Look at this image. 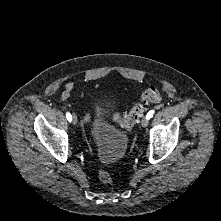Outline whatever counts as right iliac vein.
Instances as JSON below:
<instances>
[{"label":"right iliac vein","instance_id":"63e3f726","mask_svg":"<svg viewBox=\"0 0 221 221\" xmlns=\"http://www.w3.org/2000/svg\"><path fill=\"white\" fill-rule=\"evenodd\" d=\"M72 122H73V124H77V117H76V115L72 116Z\"/></svg>","mask_w":221,"mask_h":221}]
</instances>
